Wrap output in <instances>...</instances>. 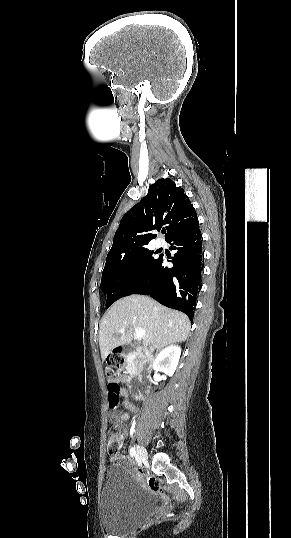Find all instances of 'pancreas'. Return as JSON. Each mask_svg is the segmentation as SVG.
I'll return each mask as SVG.
<instances>
[{
  "label": "pancreas",
  "instance_id": "1",
  "mask_svg": "<svg viewBox=\"0 0 291 538\" xmlns=\"http://www.w3.org/2000/svg\"><path fill=\"white\" fill-rule=\"evenodd\" d=\"M132 359H133V356H132V355H129V356L127 357V363H129Z\"/></svg>",
  "mask_w": 291,
  "mask_h": 538
}]
</instances>
